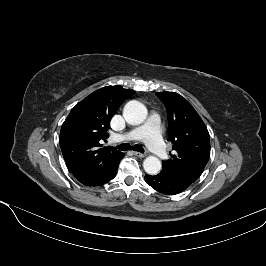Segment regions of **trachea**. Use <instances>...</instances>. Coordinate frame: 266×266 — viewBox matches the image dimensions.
Instances as JSON below:
<instances>
[{
  "label": "trachea",
  "instance_id": "3493384b",
  "mask_svg": "<svg viewBox=\"0 0 266 266\" xmlns=\"http://www.w3.org/2000/svg\"><path fill=\"white\" fill-rule=\"evenodd\" d=\"M117 148L119 150H122V151L133 150V151H137V152H141V153L144 152L143 147L140 145H137V144L134 146H131L128 143H123V144L118 145Z\"/></svg>",
  "mask_w": 266,
  "mask_h": 266
}]
</instances>
